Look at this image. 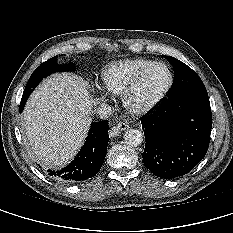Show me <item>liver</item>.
Here are the masks:
<instances>
[{
	"label": "liver",
	"mask_w": 233,
	"mask_h": 233,
	"mask_svg": "<svg viewBox=\"0 0 233 233\" xmlns=\"http://www.w3.org/2000/svg\"><path fill=\"white\" fill-rule=\"evenodd\" d=\"M92 103L87 84L74 74H54L42 82L23 114L37 162L55 168L73 159L88 133Z\"/></svg>",
	"instance_id": "1"
}]
</instances>
